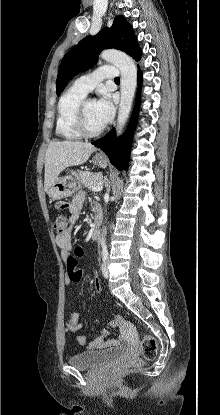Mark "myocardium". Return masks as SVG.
<instances>
[{
  "label": "myocardium",
  "mask_w": 220,
  "mask_h": 415,
  "mask_svg": "<svg viewBox=\"0 0 220 415\" xmlns=\"http://www.w3.org/2000/svg\"><path fill=\"white\" fill-rule=\"evenodd\" d=\"M90 101H92V100H90V99H84L83 101L80 102V104L77 106V108L75 110L74 120H73L74 127H75L76 131L82 137H85V138L98 137L104 131V126H102L100 129H98L96 131H90V130H88V128L86 126V122H85V108H86V105Z\"/></svg>",
  "instance_id": "obj_1"
}]
</instances>
